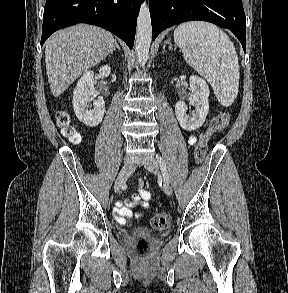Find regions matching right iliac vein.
Wrapping results in <instances>:
<instances>
[{
  "instance_id": "63e3f726",
  "label": "right iliac vein",
  "mask_w": 288,
  "mask_h": 293,
  "mask_svg": "<svg viewBox=\"0 0 288 293\" xmlns=\"http://www.w3.org/2000/svg\"><path fill=\"white\" fill-rule=\"evenodd\" d=\"M133 171V165L130 161V164L128 167H125L124 164L119 172V175L117 176V179L114 184V190L116 193H118L122 187V185L125 184L129 176L131 175Z\"/></svg>"
}]
</instances>
